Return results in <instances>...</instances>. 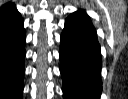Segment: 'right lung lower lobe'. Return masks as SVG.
<instances>
[{"label":"right lung lower lobe","instance_id":"1","mask_svg":"<svg viewBox=\"0 0 128 99\" xmlns=\"http://www.w3.org/2000/svg\"><path fill=\"white\" fill-rule=\"evenodd\" d=\"M25 30L23 19L11 6L0 12V99H22Z\"/></svg>","mask_w":128,"mask_h":99}]
</instances>
